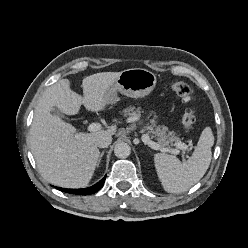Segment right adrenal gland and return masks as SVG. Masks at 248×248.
Instances as JSON below:
<instances>
[{
  "mask_svg": "<svg viewBox=\"0 0 248 248\" xmlns=\"http://www.w3.org/2000/svg\"><path fill=\"white\" fill-rule=\"evenodd\" d=\"M103 155H104V151H102L101 154H100V157H99L97 166H99V164H100V162H101V159H102Z\"/></svg>",
  "mask_w": 248,
  "mask_h": 248,
  "instance_id": "2a0ac1e0",
  "label": "right adrenal gland"
}]
</instances>
